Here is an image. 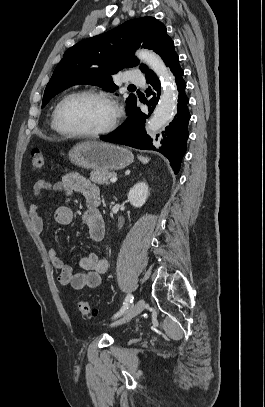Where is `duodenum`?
<instances>
[{"mask_svg":"<svg viewBox=\"0 0 265 407\" xmlns=\"http://www.w3.org/2000/svg\"><path fill=\"white\" fill-rule=\"evenodd\" d=\"M100 204H101L100 199H94V200H92V202H91V205H92L94 208H96V209L100 206Z\"/></svg>","mask_w":265,"mask_h":407,"instance_id":"obj_1","label":"duodenum"}]
</instances>
